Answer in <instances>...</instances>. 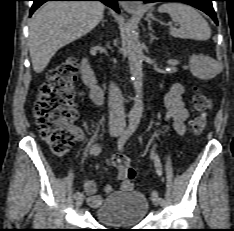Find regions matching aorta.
Masks as SVG:
<instances>
[{
    "mask_svg": "<svg viewBox=\"0 0 234 231\" xmlns=\"http://www.w3.org/2000/svg\"><path fill=\"white\" fill-rule=\"evenodd\" d=\"M126 50L130 66V74L133 80V87L136 92V99L129 114L131 123H139L143 112L142 87H143V51L135 31L130 30L126 41Z\"/></svg>",
    "mask_w": 234,
    "mask_h": 231,
    "instance_id": "1",
    "label": "aorta"
}]
</instances>
